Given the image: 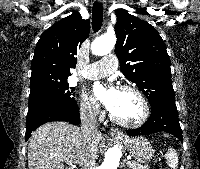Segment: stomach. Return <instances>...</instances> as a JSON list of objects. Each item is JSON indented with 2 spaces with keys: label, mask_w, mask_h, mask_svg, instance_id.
I'll return each instance as SVG.
<instances>
[{
  "label": "stomach",
  "mask_w": 200,
  "mask_h": 169,
  "mask_svg": "<svg viewBox=\"0 0 200 169\" xmlns=\"http://www.w3.org/2000/svg\"><path fill=\"white\" fill-rule=\"evenodd\" d=\"M126 146L133 158L139 163L149 162L155 152L150 142L143 137L127 139Z\"/></svg>",
  "instance_id": "1"
}]
</instances>
